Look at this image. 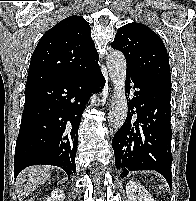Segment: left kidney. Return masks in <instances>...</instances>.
<instances>
[{
    "label": "left kidney",
    "instance_id": "obj_1",
    "mask_svg": "<svg viewBox=\"0 0 196 201\" xmlns=\"http://www.w3.org/2000/svg\"><path fill=\"white\" fill-rule=\"evenodd\" d=\"M126 194L128 201H154L145 187L133 180L126 184Z\"/></svg>",
    "mask_w": 196,
    "mask_h": 201
}]
</instances>
